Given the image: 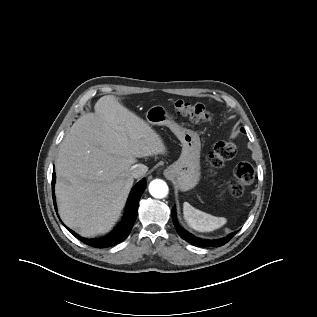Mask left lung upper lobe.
I'll return each instance as SVG.
<instances>
[{
  "instance_id": "1",
  "label": "left lung upper lobe",
  "mask_w": 317,
  "mask_h": 317,
  "mask_svg": "<svg viewBox=\"0 0 317 317\" xmlns=\"http://www.w3.org/2000/svg\"><path fill=\"white\" fill-rule=\"evenodd\" d=\"M241 131L245 133V130H244V128H243V129H241Z\"/></svg>"
}]
</instances>
